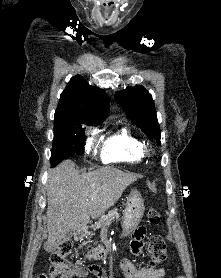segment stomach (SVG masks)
I'll return each instance as SVG.
<instances>
[{"label":"stomach","mask_w":221,"mask_h":278,"mask_svg":"<svg viewBox=\"0 0 221 278\" xmlns=\"http://www.w3.org/2000/svg\"><path fill=\"white\" fill-rule=\"evenodd\" d=\"M144 201L136 189H132L127 197L126 207L123 214V230L125 235H130L139 225L144 215Z\"/></svg>","instance_id":"0dacf381"}]
</instances>
